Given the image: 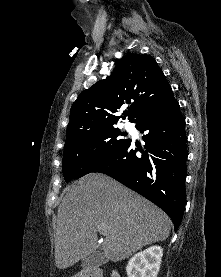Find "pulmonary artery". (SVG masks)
<instances>
[{
    "instance_id": "e3ab8cb5",
    "label": "pulmonary artery",
    "mask_w": 221,
    "mask_h": 277,
    "mask_svg": "<svg viewBox=\"0 0 221 277\" xmlns=\"http://www.w3.org/2000/svg\"><path fill=\"white\" fill-rule=\"evenodd\" d=\"M125 128L129 129L130 125L129 124H125Z\"/></svg>"
}]
</instances>
